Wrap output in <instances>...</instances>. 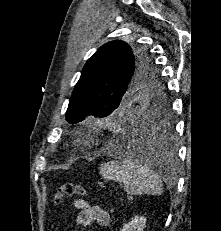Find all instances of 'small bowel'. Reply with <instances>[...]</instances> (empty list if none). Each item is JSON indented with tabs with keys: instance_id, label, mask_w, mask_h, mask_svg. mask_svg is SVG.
<instances>
[{
	"instance_id": "1",
	"label": "small bowel",
	"mask_w": 221,
	"mask_h": 231,
	"mask_svg": "<svg viewBox=\"0 0 221 231\" xmlns=\"http://www.w3.org/2000/svg\"><path fill=\"white\" fill-rule=\"evenodd\" d=\"M75 207L79 210L77 216L79 226L87 227L95 222L100 227H107L110 223V215L106 210L98 206H92L85 200H76ZM73 231H78V229L75 228Z\"/></svg>"
}]
</instances>
